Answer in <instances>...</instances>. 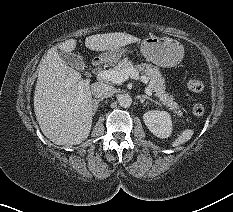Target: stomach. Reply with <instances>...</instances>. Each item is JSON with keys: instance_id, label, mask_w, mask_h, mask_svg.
<instances>
[{"instance_id": "1", "label": "stomach", "mask_w": 233, "mask_h": 212, "mask_svg": "<svg viewBox=\"0 0 233 212\" xmlns=\"http://www.w3.org/2000/svg\"><path fill=\"white\" fill-rule=\"evenodd\" d=\"M127 52H129L128 48L121 47L113 53L111 51L104 52L103 57L109 60L118 58ZM141 52L146 60L161 67H173L179 64L184 56L183 46L178 41L157 36L144 39L141 44Z\"/></svg>"}]
</instances>
